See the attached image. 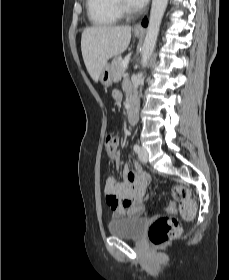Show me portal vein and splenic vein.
Here are the masks:
<instances>
[{
	"label": "portal vein and splenic vein",
	"mask_w": 229,
	"mask_h": 280,
	"mask_svg": "<svg viewBox=\"0 0 229 280\" xmlns=\"http://www.w3.org/2000/svg\"><path fill=\"white\" fill-rule=\"evenodd\" d=\"M130 57H131V53L128 54V55L124 58V60H123V62H122V67H123V68H127L128 64H129V61H130Z\"/></svg>",
	"instance_id": "1"
}]
</instances>
